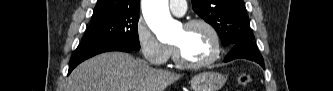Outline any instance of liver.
I'll return each instance as SVG.
<instances>
[{
    "label": "liver",
    "mask_w": 333,
    "mask_h": 91,
    "mask_svg": "<svg viewBox=\"0 0 333 91\" xmlns=\"http://www.w3.org/2000/svg\"><path fill=\"white\" fill-rule=\"evenodd\" d=\"M182 75L150 67L123 52L95 56L77 66L66 91H164Z\"/></svg>",
    "instance_id": "obj_1"
}]
</instances>
